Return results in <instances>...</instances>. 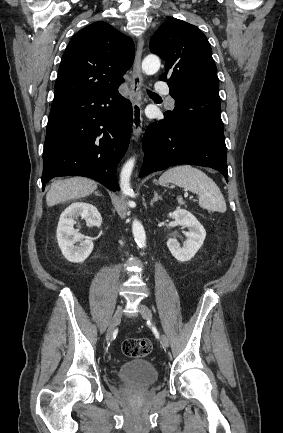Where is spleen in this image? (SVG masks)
Listing matches in <instances>:
<instances>
[{
    "mask_svg": "<svg viewBox=\"0 0 283 433\" xmlns=\"http://www.w3.org/2000/svg\"><path fill=\"white\" fill-rule=\"evenodd\" d=\"M160 184L173 182L177 186L188 188L191 192H196L199 196V204L207 210H218L225 212L227 206L224 196L217 184L212 178H209L205 172L199 168H193L190 164L183 166H173L166 172H163L159 178Z\"/></svg>",
    "mask_w": 283,
    "mask_h": 433,
    "instance_id": "3e777b00",
    "label": "spleen"
}]
</instances>
